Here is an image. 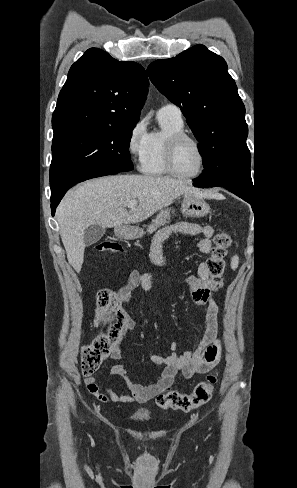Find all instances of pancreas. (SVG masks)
Here are the masks:
<instances>
[{
	"instance_id": "pancreas-1",
	"label": "pancreas",
	"mask_w": 297,
	"mask_h": 488,
	"mask_svg": "<svg viewBox=\"0 0 297 488\" xmlns=\"http://www.w3.org/2000/svg\"><path fill=\"white\" fill-rule=\"evenodd\" d=\"M170 213L171 209L167 208L165 210H161L156 218L152 220V223L148 226L147 232L148 233H153L154 231L157 230L160 226L165 225L166 223L170 222Z\"/></svg>"
}]
</instances>
